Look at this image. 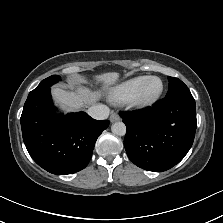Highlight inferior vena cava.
Returning a JSON list of instances; mask_svg holds the SVG:
<instances>
[{
  "label": "inferior vena cava",
  "mask_w": 223,
  "mask_h": 223,
  "mask_svg": "<svg viewBox=\"0 0 223 223\" xmlns=\"http://www.w3.org/2000/svg\"><path fill=\"white\" fill-rule=\"evenodd\" d=\"M88 114L94 119H107L109 116V108L106 105H95L88 109Z\"/></svg>",
  "instance_id": "obj_1"
}]
</instances>
